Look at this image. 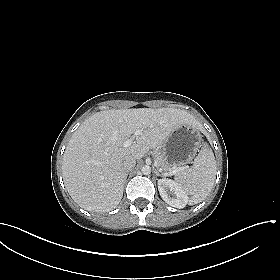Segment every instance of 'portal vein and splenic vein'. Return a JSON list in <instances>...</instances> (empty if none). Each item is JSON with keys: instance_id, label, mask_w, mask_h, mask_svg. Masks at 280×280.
I'll return each mask as SVG.
<instances>
[{"instance_id": "obj_1", "label": "portal vein and splenic vein", "mask_w": 280, "mask_h": 280, "mask_svg": "<svg viewBox=\"0 0 280 280\" xmlns=\"http://www.w3.org/2000/svg\"><path fill=\"white\" fill-rule=\"evenodd\" d=\"M141 133V130H136L135 133L129 138L127 139L126 141H124L123 143V147H129L132 145L133 141L135 140V138L140 135ZM188 167L187 166H182V167H177L175 169H173L169 174L170 175H174L176 173H178L179 171H182V170H185L187 169Z\"/></svg>"}]
</instances>
